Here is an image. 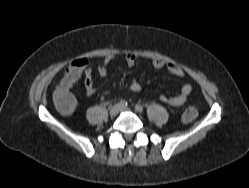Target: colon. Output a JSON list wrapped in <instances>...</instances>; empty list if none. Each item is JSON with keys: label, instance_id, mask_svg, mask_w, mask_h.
I'll return each mask as SVG.
<instances>
[{"label": "colon", "instance_id": "colon-1", "mask_svg": "<svg viewBox=\"0 0 249 188\" xmlns=\"http://www.w3.org/2000/svg\"><path fill=\"white\" fill-rule=\"evenodd\" d=\"M53 103L56 109L65 116L74 114L76 110V101L72 94L63 88H56L53 93ZM198 111L195 106L191 105L185 109L182 114V121L190 123L196 119Z\"/></svg>", "mask_w": 249, "mask_h": 188}]
</instances>
